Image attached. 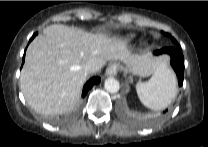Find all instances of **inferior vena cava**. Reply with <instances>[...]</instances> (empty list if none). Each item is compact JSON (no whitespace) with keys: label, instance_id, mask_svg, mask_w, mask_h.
Returning <instances> with one entry per match:
<instances>
[{"label":"inferior vena cava","instance_id":"inferior-vena-cava-1","mask_svg":"<svg viewBox=\"0 0 208 147\" xmlns=\"http://www.w3.org/2000/svg\"><path fill=\"white\" fill-rule=\"evenodd\" d=\"M84 72H85L86 74L93 73V72H94V68H93L91 65H86V66L84 67Z\"/></svg>","mask_w":208,"mask_h":147}]
</instances>
